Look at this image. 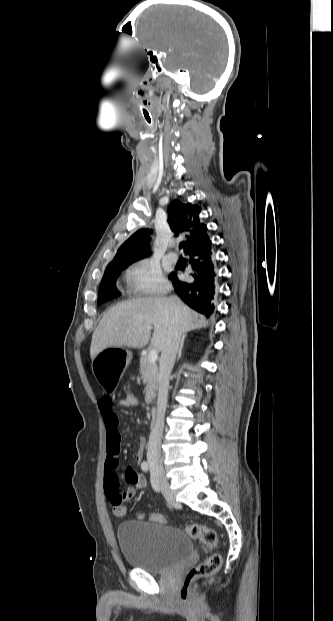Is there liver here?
Wrapping results in <instances>:
<instances>
[{
    "label": "liver",
    "instance_id": "obj_1",
    "mask_svg": "<svg viewBox=\"0 0 333 621\" xmlns=\"http://www.w3.org/2000/svg\"><path fill=\"white\" fill-rule=\"evenodd\" d=\"M174 316L183 333L208 325L205 316L182 302L176 311L170 298H135L116 304L104 314L92 335L91 359L107 348L126 346L140 349L149 340L157 351L162 352ZM151 326H154L152 337Z\"/></svg>",
    "mask_w": 333,
    "mask_h": 621
}]
</instances>
